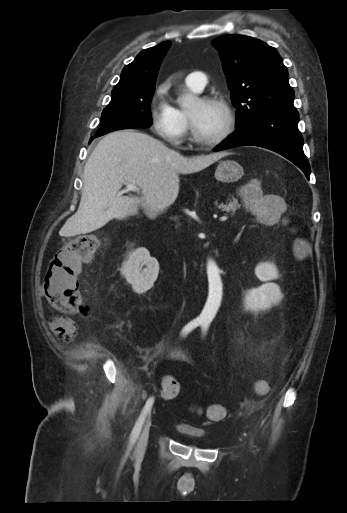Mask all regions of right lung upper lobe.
I'll return each instance as SVG.
<instances>
[{
    "label": "right lung upper lobe",
    "instance_id": "right-lung-upper-lobe-1",
    "mask_svg": "<svg viewBox=\"0 0 347 513\" xmlns=\"http://www.w3.org/2000/svg\"><path fill=\"white\" fill-rule=\"evenodd\" d=\"M170 45V41H165L140 52L132 63L124 67L113 90L155 87L160 64Z\"/></svg>",
    "mask_w": 347,
    "mask_h": 513
}]
</instances>
